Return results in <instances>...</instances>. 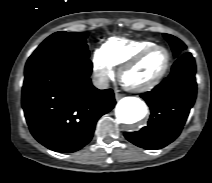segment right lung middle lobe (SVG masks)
<instances>
[{
    "instance_id": "dd1d6c3e",
    "label": "right lung middle lobe",
    "mask_w": 212,
    "mask_h": 183,
    "mask_svg": "<svg viewBox=\"0 0 212 183\" xmlns=\"http://www.w3.org/2000/svg\"><path fill=\"white\" fill-rule=\"evenodd\" d=\"M86 37L81 32H56L39 45L29 60L44 57L88 58Z\"/></svg>"
}]
</instances>
